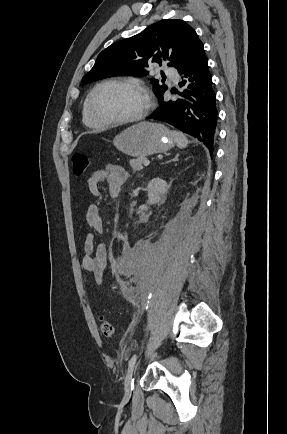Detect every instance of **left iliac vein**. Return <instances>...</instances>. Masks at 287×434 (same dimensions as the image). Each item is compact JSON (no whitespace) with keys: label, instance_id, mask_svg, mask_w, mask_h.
Segmentation results:
<instances>
[{"label":"left iliac vein","instance_id":"left-iliac-vein-1","mask_svg":"<svg viewBox=\"0 0 287 434\" xmlns=\"http://www.w3.org/2000/svg\"><path fill=\"white\" fill-rule=\"evenodd\" d=\"M133 385V369H129L127 376L125 378V393L129 395Z\"/></svg>","mask_w":287,"mask_h":434}]
</instances>
